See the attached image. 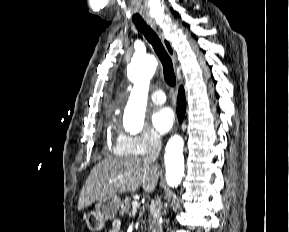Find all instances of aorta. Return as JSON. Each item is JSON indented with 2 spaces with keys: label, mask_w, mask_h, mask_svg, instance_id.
<instances>
[{
  "label": "aorta",
  "mask_w": 289,
  "mask_h": 232,
  "mask_svg": "<svg viewBox=\"0 0 289 232\" xmlns=\"http://www.w3.org/2000/svg\"><path fill=\"white\" fill-rule=\"evenodd\" d=\"M157 66L152 55L134 56L129 65V78L134 83L124 112L125 129L139 133L143 129L150 80ZM184 141L182 137H171L165 149V169L167 184L176 188L184 176Z\"/></svg>",
  "instance_id": "1"
}]
</instances>
